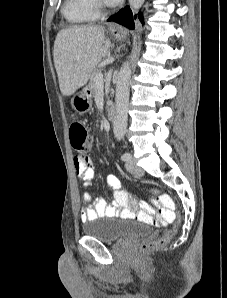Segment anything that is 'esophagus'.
<instances>
[{
	"instance_id": "obj_1",
	"label": "esophagus",
	"mask_w": 227,
	"mask_h": 298,
	"mask_svg": "<svg viewBox=\"0 0 227 298\" xmlns=\"http://www.w3.org/2000/svg\"><path fill=\"white\" fill-rule=\"evenodd\" d=\"M109 28L112 32H116L119 30V27L115 24H111Z\"/></svg>"
}]
</instances>
